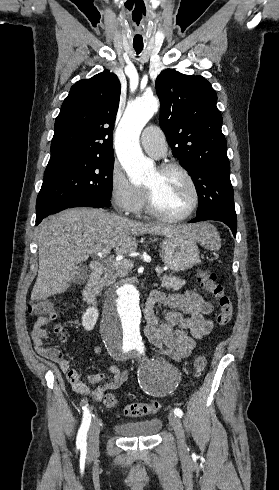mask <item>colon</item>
Instances as JSON below:
<instances>
[{"label": "colon", "mask_w": 279, "mask_h": 490, "mask_svg": "<svg viewBox=\"0 0 279 490\" xmlns=\"http://www.w3.org/2000/svg\"><path fill=\"white\" fill-rule=\"evenodd\" d=\"M199 281L202 288L217 300L218 311L216 314L217 323L221 326H227L231 323L233 307L230 297L225 293L223 286L217 281L214 274L208 269H201L198 273ZM29 314L35 317H43L52 320L57 317L53 304L48 300L34 301L28 307ZM57 338H68V329H57ZM206 357L197 356L193 361L195 375H201L206 367ZM117 397L108 392L104 395V406L113 409L117 406ZM162 408V403L158 400H149L143 402L128 403L123 410L125 416L141 417L151 416L158 413Z\"/></svg>", "instance_id": "1"}]
</instances>
